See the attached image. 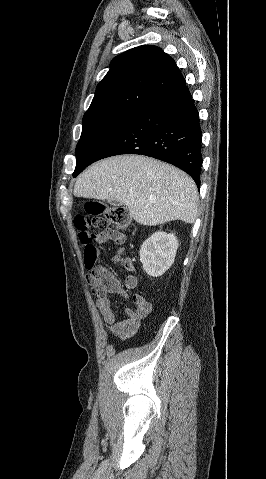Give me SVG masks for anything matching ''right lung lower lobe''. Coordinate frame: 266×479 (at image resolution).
Returning a JSON list of instances; mask_svg holds the SVG:
<instances>
[{"label":"right lung lower lobe","mask_w":266,"mask_h":479,"mask_svg":"<svg viewBox=\"0 0 266 479\" xmlns=\"http://www.w3.org/2000/svg\"><path fill=\"white\" fill-rule=\"evenodd\" d=\"M201 145L199 114L184 83L144 107L95 161L119 154L146 155L182 169L199 189Z\"/></svg>","instance_id":"right-lung-lower-lobe-1"}]
</instances>
